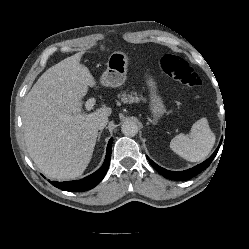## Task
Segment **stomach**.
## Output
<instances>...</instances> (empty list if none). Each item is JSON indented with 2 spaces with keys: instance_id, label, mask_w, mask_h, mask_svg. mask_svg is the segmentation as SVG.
<instances>
[{
  "instance_id": "stomach-1",
  "label": "stomach",
  "mask_w": 249,
  "mask_h": 249,
  "mask_svg": "<svg viewBox=\"0 0 249 249\" xmlns=\"http://www.w3.org/2000/svg\"><path fill=\"white\" fill-rule=\"evenodd\" d=\"M128 56L123 51H115L110 54L107 61V69L101 76V83L106 87H119L126 80L128 67ZM146 83L150 90V110L153 116V123L166 112L162 98L157 93L156 83L152 77H147Z\"/></svg>"
}]
</instances>
